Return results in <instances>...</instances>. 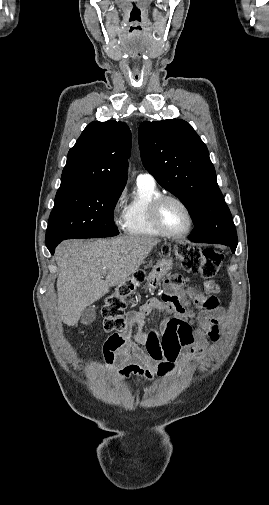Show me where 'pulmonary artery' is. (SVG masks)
<instances>
[{
    "mask_svg": "<svg viewBox=\"0 0 269 505\" xmlns=\"http://www.w3.org/2000/svg\"><path fill=\"white\" fill-rule=\"evenodd\" d=\"M138 183L155 184L154 177L149 173H141L137 176Z\"/></svg>",
    "mask_w": 269,
    "mask_h": 505,
    "instance_id": "1",
    "label": "pulmonary artery"
}]
</instances>
